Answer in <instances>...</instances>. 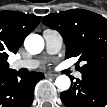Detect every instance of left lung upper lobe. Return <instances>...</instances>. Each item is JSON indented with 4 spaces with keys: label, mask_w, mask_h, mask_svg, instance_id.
<instances>
[{
    "label": "left lung upper lobe",
    "mask_w": 107,
    "mask_h": 107,
    "mask_svg": "<svg viewBox=\"0 0 107 107\" xmlns=\"http://www.w3.org/2000/svg\"><path fill=\"white\" fill-rule=\"evenodd\" d=\"M43 23L62 35L66 58L79 57L85 75L107 78V19L83 9L53 13ZM78 64V63H77Z\"/></svg>",
    "instance_id": "left-lung-upper-lobe-1"
}]
</instances>
